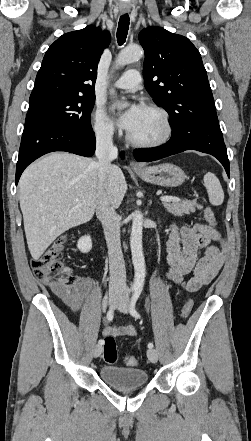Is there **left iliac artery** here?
Returning <instances> with one entry per match:
<instances>
[{
    "mask_svg": "<svg viewBox=\"0 0 251 441\" xmlns=\"http://www.w3.org/2000/svg\"><path fill=\"white\" fill-rule=\"evenodd\" d=\"M141 289H136L135 291H134V294H133V296H132V298H131V303H130V308H129V312H130V314L133 316V317H135V318H137V319H140L141 318V316H140V314L136 311V309H135V305H136V302H137V300H138V298H139V296H140V294H141ZM153 343H148V348H153Z\"/></svg>",
    "mask_w": 251,
    "mask_h": 441,
    "instance_id": "left-iliac-artery-1",
    "label": "left iliac artery"
}]
</instances>
